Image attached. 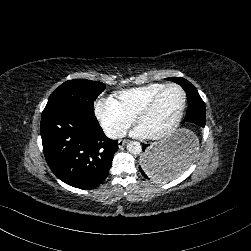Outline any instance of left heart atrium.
Instances as JSON below:
<instances>
[{
  "instance_id": "1",
  "label": "left heart atrium",
  "mask_w": 251,
  "mask_h": 251,
  "mask_svg": "<svg viewBox=\"0 0 251 251\" xmlns=\"http://www.w3.org/2000/svg\"><path fill=\"white\" fill-rule=\"evenodd\" d=\"M131 134L133 136L140 137V138H148L153 135V132L145 124L140 123L131 131Z\"/></svg>"
}]
</instances>
